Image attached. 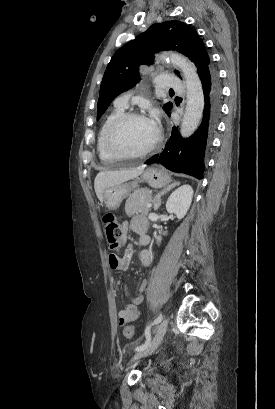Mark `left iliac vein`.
<instances>
[{"instance_id":"1","label":"left iliac vein","mask_w":275,"mask_h":409,"mask_svg":"<svg viewBox=\"0 0 275 409\" xmlns=\"http://www.w3.org/2000/svg\"><path fill=\"white\" fill-rule=\"evenodd\" d=\"M169 320L168 318H164L160 324L155 328L154 330V336L147 348L144 350L138 351L134 355V360L140 359L142 357H146L148 355H151L157 347L160 345L162 342L166 332H167V327H168Z\"/></svg>"}]
</instances>
